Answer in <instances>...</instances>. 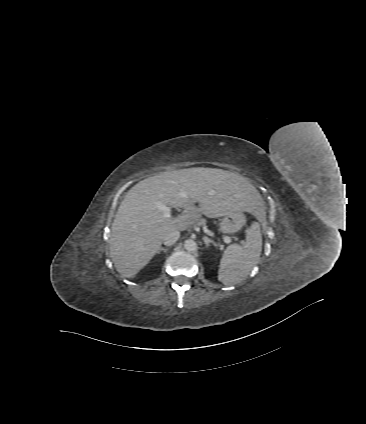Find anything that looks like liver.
Listing matches in <instances>:
<instances>
[{
    "mask_svg": "<svg viewBox=\"0 0 366 424\" xmlns=\"http://www.w3.org/2000/svg\"><path fill=\"white\" fill-rule=\"evenodd\" d=\"M158 203L183 211L165 218ZM235 212L257 218L264 213L261 195L245 177L204 167L162 172L127 192L112 224L110 257L123 277L133 278L157 253L167 232L189 230L202 215L218 218Z\"/></svg>",
    "mask_w": 366,
    "mask_h": 424,
    "instance_id": "obj_1",
    "label": "liver"
}]
</instances>
